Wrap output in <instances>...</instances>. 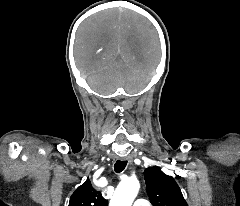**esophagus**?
I'll return each instance as SVG.
<instances>
[{
  "label": "esophagus",
  "instance_id": "1",
  "mask_svg": "<svg viewBox=\"0 0 240 206\" xmlns=\"http://www.w3.org/2000/svg\"><path fill=\"white\" fill-rule=\"evenodd\" d=\"M121 161H127L128 163L132 162V158L131 157H122L120 158Z\"/></svg>",
  "mask_w": 240,
  "mask_h": 206
}]
</instances>
